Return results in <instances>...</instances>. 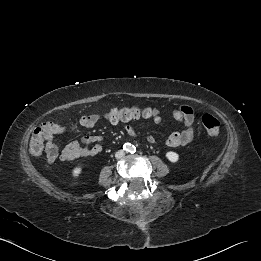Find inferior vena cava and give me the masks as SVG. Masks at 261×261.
I'll return each instance as SVG.
<instances>
[{"label":"inferior vena cava","instance_id":"inferior-vena-cava-1","mask_svg":"<svg viewBox=\"0 0 261 261\" xmlns=\"http://www.w3.org/2000/svg\"><path fill=\"white\" fill-rule=\"evenodd\" d=\"M124 155H125V152H124L123 150H119V151H117V152L115 153V158H116V159H121V158L124 157Z\"/></svg>","mask_w":261,"mask_h":261}]
</instances>
